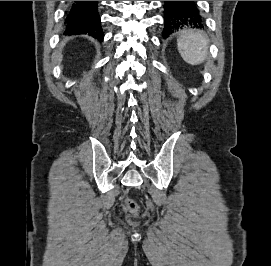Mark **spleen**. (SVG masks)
<instances>
[{
  "label": "spleen",
  "mask_w": 271,
  "mask_h": 266,
  "mask_svg": "<svg viewBox=\"0 0 271 266\" xmlns=\"http://www.w3.org/2000/svg\"><path fill=\"white\" fill-rule=\"evenodd\" d=\"M209 40L207 36L197 30H185L177 39L178 51L183 60L193 66L205 61L208 54Z\"/></svg>",
  "instance_id": "1"
}]
</instances>
